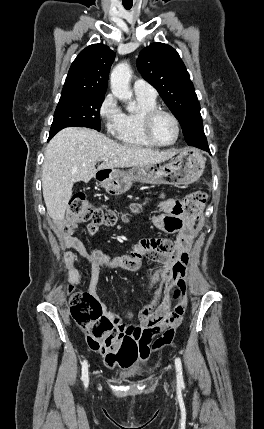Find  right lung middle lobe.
Listing matches in <instances>:
<instances>
[{
  "label": "right lung middle lobe",
  "instance_id": "obj_1",
  "mask_svg": "<svg viewBox=\"0 0 264 429\" xmlns=\"http://www.w3.org/2000/svg\"><path fill=\"white\" fill-rule=\"evenodd\" d=\"M104 95L62 93L54 113L49 139L69 126L100 130V107Z\"/></svg>",
  "mask_w": 264,
  "mask_h": 429
}]
</instances>
